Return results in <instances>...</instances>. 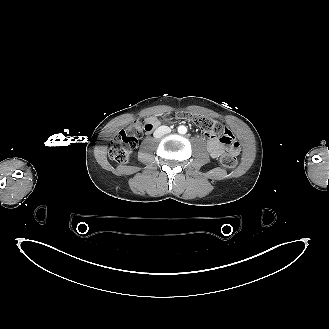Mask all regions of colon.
<instances>
[{"label": "colon", "mask_w": 329, "mask_h": 329, "mask_svg": "<svg viewBox=\"0 0 329 329\" xmlns=\"http://www.w3.org/2000/svg\"><path fill=\"white\" fill-rule=\"evenodd\" d=\"M176 117L192 121L207 135L221 136V142L228 148V152L220 158L221 163L229 169L237 166L238 161L235 151L238 149V144L233 135L221 123L208 116L188 112L177 113ZM152 127L153 123L151 122L142 124L140 121L135 120L125 129L119 131L111 142L110 158L116 162H126L137 140L143 135L144 131H149Z\"/></svg>", "instance_id": "colon-1"}]
</instances>
